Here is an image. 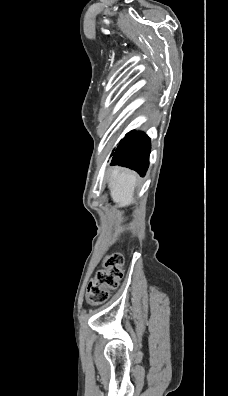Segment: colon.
<instances>
[{
    "mask_svg": "<svg viewBox=\"0 0 228 396\" xmlns=\"http://www.w3.org/2000/svg\"><path fill=\"white\" fill-rule=\"evenodd\" d=\"M123 256L120 253L108 255L102 268L88 285L86 298L89 304L97 306L106 302L123 275Z\"/></svg>",
    "mask_w": 228,
    "mask_h": 396,
    "instance_id": "colon-1",
    "label": "colon"
}]
</instances>
